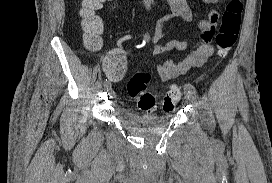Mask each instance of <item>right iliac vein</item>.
I'll use <instances>...</instances> for the list:
<instances>
[{
    "label": "right iliac vein",
    "instance_id": "right-iliac-vein-1",
    "mask_svg": "<svg viewBox=\"0 0 272 183\" xmlns=\"http://www.w3.org/2000/svg\"><path fill=\"white\" fill-rule=\"evenodd\" d=\"M104 90L108 93L112 92V85L111 82H108L106 85H104Z\"/></svg>",
    "mask_w": 272,
    "mask_h": 183
}]
</instances>
